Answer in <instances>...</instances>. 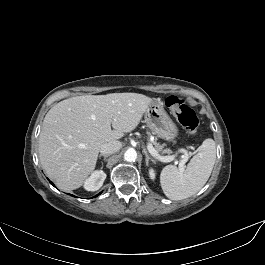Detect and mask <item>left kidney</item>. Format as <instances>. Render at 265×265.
I'll use <instances>...</instances> for the list:
<instances>
[{"mask_svg":"<svg viewBox=\"0 0 265 265\" xmlns=\"http://www.w3.org/2000/svg\"><path fill=\"white\" fill-rule=\"evenodd\" d=\"M149 176H150V178L152 180H155V178H156V172H155V170L153 168H150V170H149Z\"/></svg>","mask_w":265,"mask_h":265,"instance_id":"5707ae66","label":"left kidney"}]
</instances>
